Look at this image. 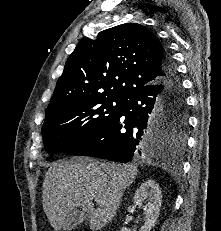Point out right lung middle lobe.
I'll list each match as a JSON object with an SVG mask.
<instances>
[{
  "instance_id": "right-lung-middle-lobe-1",
  "label": "right lung middle lobe",
  "mask_w": 221,
  "mask_h": 231,
  "mask_svg": "<svg viewBox=\"0 0 221 231\" xmlns=\"http://www.w3.org/2000/svg\"><path fill=\"white\" fill-rule=\"evenodd\" d=\"M124 101L114 96H93L68 102L45 118L42 136L46 151L55 154L75 148L104 128ZM187 120L186 104L174 101H165L154 116L156 130L180 146L185 143Z\"/></svg>"
}]
</instances>
